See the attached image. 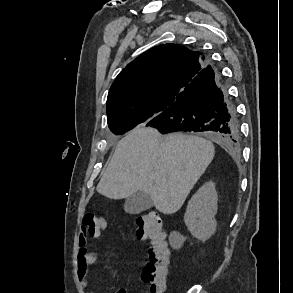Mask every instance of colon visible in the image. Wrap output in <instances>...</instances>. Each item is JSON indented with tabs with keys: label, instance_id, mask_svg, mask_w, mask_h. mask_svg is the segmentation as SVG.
Here are the masks:
<instances>
[{
	"label": "colon",
	"instance_id": "5ec220e1",
	"mask_svg": "<svg viewBox=\"0 0 293 293\" xmlns=\"http://www.w3.org/2000/svg\"><path fill=\"white\" fill-rule=\"evenodd\" d=\"M83 229L87 236L96 238L106 228L104 217L96 212H86ZM135 234L141 240L149 241V256L142 271V278L148 286V293H163L169 274V250L162 229V217L149 212L135 221Z\"/></svg>",
	"mask_w": 293,
	"mask_h": 293
}]
</instances>
